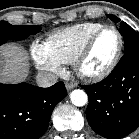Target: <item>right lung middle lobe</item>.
<instances>
[{"label": "right lung middle lobe", "mask_w": 139, "mask_h": 139, "mask_svg": "<svg viewBox=\"0 0 139 139\" xmlns=\"http://www.w3.org/2000/svg\"><path fill=\"white\" fill-rule=\"evenodd\" d=\"M40 30L41 27L39 26L11 25L5 21H0V43L7 40H24Z\"/></svg>", "instance_id": "dd1d6c3e"}]
</instances>
